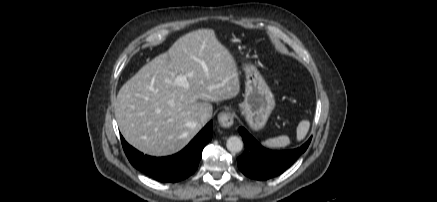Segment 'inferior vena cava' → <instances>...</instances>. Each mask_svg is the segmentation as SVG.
Wrapping results in <instances>:
<instances>
[{"instance_id":"1","label":"inferior vena cava","mask_w":437,"mask_h":202,"mask_svg":"<svg viewBox=\"0 0 437 202\" xmlns=\"http://www.w3.org/2000/svg\"><path fill=\"white\" fill-rule=\"evenodd\" d=\"M210 118H211V115L209 113L205 112L200 116V122L202 124H206L210 120Z\"/></svg>"}]
</instances>
